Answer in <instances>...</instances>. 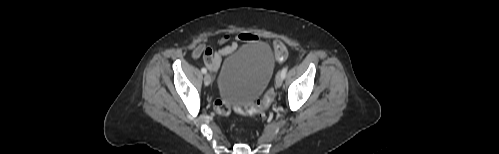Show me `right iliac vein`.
Masks as SVG:
<instances>
[{
    "label": "right iliac vein",
    "instance_id": "obj_1",
    "mask_svg": "<svg viewBox=\"0 0 499 154\" xmlns=\"http://www.w3.org/2000/svg\"><path fill=\"white\" fill-rule=\"evenodd\" d=\"M204 83L205 85H210L211 83V75L209 73H206L205 76H204Z\"/></svg>",
    "mask_w": 499,
    "mask_h": 154
}]
</instances>
